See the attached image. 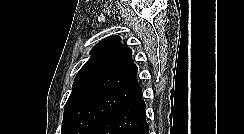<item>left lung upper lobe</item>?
Listing matches in <instances>:
<instances>
[{"label": "left lung upper lobe", "mask_w": 244, "mask_h": 134, "mask_svg": "<svg viewBox=\"0 0 244 134\" xmlns=\"http://www.w3.org/2000/svg\"><path fill=\"white\" fill-rule=\"evenodd\" d=\"M90 55L74 79L61 134H95L113 112L142 95L131 49L119 36L101 40Z\"/></svg>", "instance_id": "left-lung-upper-lobe-1"}]
</instances>
